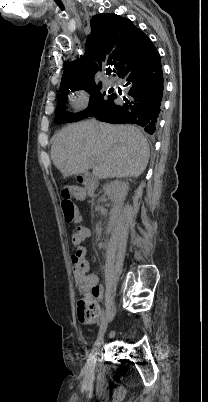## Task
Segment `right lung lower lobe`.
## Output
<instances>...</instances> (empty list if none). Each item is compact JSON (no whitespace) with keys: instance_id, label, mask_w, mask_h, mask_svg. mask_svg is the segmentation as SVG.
<instances>
[{"instance_id":"1","label":"right lung lower lobe","mask_w":208,"mask_h":402,"mask_svg":"<svg viewBox=\"0 0 208 402\" xmlns=\"http://www.w3.org/2000/svg\"><path fill=\"white\" fill-rule=\"evenodd\" d=\"M117 75L127 81L128 96L123 103L113 100L110 108L94 117L112 124H136L153 134L162 109L164 80L160 55L144 33L122 59Z\"/></svg>"}]
</instances>
